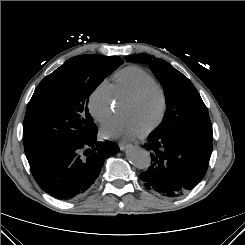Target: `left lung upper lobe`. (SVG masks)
I'll list each match as a JSON object with an SVG mask.
<instances>
[{
    "label": "left lung upper lobe",
    "mask_w": 245,
    "mask_h": 245,
    "mask_svg": "<svg viewBox=\"0 0 245 245\" xmlns=\"http://www.w3.org/2000/svg\"><path fill=\"white\" fill-rule=\"evenodd\" d=\"M125 59L131 62L148 63L163 86L166 112L156 132L192 131L213 140L207 107L187 77L168 62L149 54L126 56Z\"/></svg>",
    "instance_id": "obj_1"
}]
</instances>
